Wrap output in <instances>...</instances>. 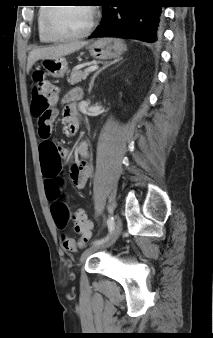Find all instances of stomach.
Listing matches in <instances>:
<instances>
[{"label":"stomach","instance_id":"1","mask_svg":"<svg viewBox=\"0 0 213 338\" xmlns=\"http://www.w3.org/2000/svg\"><path fill=\"white\" fill-rule=\"evenodd\" d=\"M87 49L93 58L103 60L120 57L126 50V45L121 39L100 38L89 43ZM41 65L54 78L63 77L67 70V61L63 57L44 58Z\"/></svg>","mask_w":213,"mask_h":338}]
</instances>
